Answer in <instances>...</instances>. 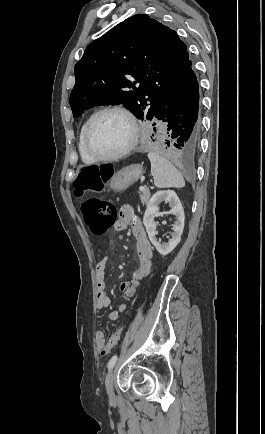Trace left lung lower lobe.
Wrapping results in <instances>:
<instances>
[{
  "label": "left lung lower lobe",
  "mask_w": 265,
  "mask_h": 434,
  "mask_svg": "<svg viewBox=\"0 0 265 434\" xmlns=\"http://www.w3.org/2000/svg\"><path fill=\"white\" fill-rule=\"evenodd\" d=\"M199 84L189 59L170 88L160 99L154 116L167 123L166 146L153 147L158 152L177 148L183 155L193 154L199 144Z\"/></svg>",
  "instance_id": "0a47b994"
}]
</instances>
